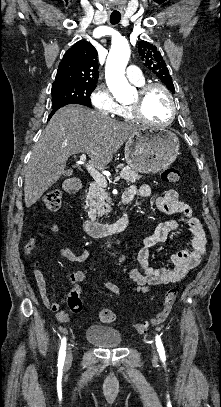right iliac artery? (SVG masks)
I'll list each match as a JSON object with an SVG mask.
<instances>
[{"mask_svg":"<svg viewBox=\"0 0 221 407\" xmlns=\"http://www.w3.org/2000/svg\"><path fill=\"white\" fill-rule=\"evenodd\" d=\"M66 338L64 337L61 340V346L59 350V356H58V366L63 367L64 365V360H65V354H66Z\"/></svg>","mask_w":221,"mask_h":407,"instance_id":"82829eb1","label":"right iliac artery"}]
</instances>
